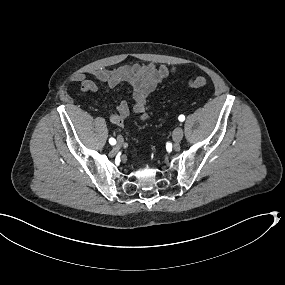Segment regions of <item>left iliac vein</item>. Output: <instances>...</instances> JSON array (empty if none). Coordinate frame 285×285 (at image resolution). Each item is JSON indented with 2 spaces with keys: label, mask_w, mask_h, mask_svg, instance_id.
<instances>
[{
  "label": "left iliac vein",
  "mask_w": 285,
  "mask_h": 285,
  "mask_svg": "<svg viewBox=\"0 0 285 285\" xmlns=\"http://www.w3.org/2000/svg\"><path fill=\"white\" fill-rule=\"evenodd\" d=\"M183 129L181 127H177L174 129L173 131V135L172 138L175 142V144H178L180 142V140L183 138Z\"/></svg>",
  "instance_id": "1"
}]
</instances>
